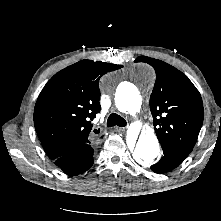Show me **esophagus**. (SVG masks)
I'll use <instances>...</instances> for the list:
<instances>
[{"instance_id": "obj_1", "label": "esophagus", "mask_w": 221, "mask_h": 221, "mask_svg": "<svg viewBox=\"0 0 221 221\" xmlns=\"http://www.w3.org/2000/svg\"><path fill=\"white\" fill-rule=\"evenodd\" d=\"M116 129H117L118 131H121V132L126 131V128H125V127H116Z\"/></svg>"}]
</instances>
